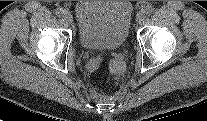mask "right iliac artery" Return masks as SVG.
Masks as SVG:
<instances>
[{
	"label": "right iliac artery",
	"mask_w": 207,
	"mask_h": 121,
	"mask_svg": "<svg viewBox=\"0 0 207 121\" xmlns=\"http://www.w3.org/2000/svg\"><path fill=\"white\" fill-rule=\"evenodd\" d=\"M64 9L59 7L55 10L56 15H58L59 17L62 16L64 14Z\"/></svg>",
	"instance_id": "right-iliac-artery-1"
}]
</instances>
